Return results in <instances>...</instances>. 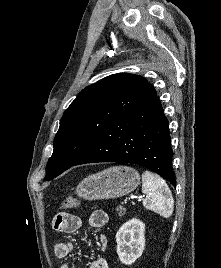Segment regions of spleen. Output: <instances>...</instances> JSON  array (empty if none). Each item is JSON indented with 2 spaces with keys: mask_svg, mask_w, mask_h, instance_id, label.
Instances as JSON below:
<instances>
[{
  "mask_svg": "<svg viewBox=\"0 0 221 268\" xmlns=\"http://www.w3.org/2000/svg\"><path fill=\"white\" fill-rule=\"evenodd\" d=\"M142 182V192L146 195L143 206L169 218L173 213L174 200L164 179L146 170L142 174Z\"/></svg>",
  "mask_w": 221,
  "mask_h": 268,
  "instance_id": "obj_1",
  "label": "spleen"
}]
</instances>
